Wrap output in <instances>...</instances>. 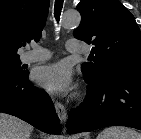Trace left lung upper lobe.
Segmentation results:
<instances>
[{
	"mask_svg": "<svg viewBox=\"0 0 141 139\" xmlns=\"http://www.w3.org/2000/svg\"><path fill=\"white\" fill-rule=\"evenodd\" d=\"M81 23L73 35L93 44L92 62L81 70L94 80L110 72L141 75V33L134 16L118 0H80ZM94 55V56H93Z\"/></svg>",
	"mask_w": 141,
	"mask_h": 139,
	"instance_id": "obj_1",
	"label": "left lung upper lobe"
}]
</instances>
